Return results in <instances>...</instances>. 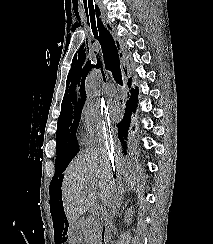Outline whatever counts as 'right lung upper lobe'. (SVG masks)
<instances>
[{
    "label": "right lung upper lobe",
    "instance_id": "1",
    "mask_svg": "<svg viewBox=\"0 0 213 244\" xmlns=\"http://www.w3.org/2000/svg\"><path fill=\"white\" fill-rule=\"evenodd\" d=\"M92 65L90 66L89 62H85V59L81 61L78 60V63L74 66H71L69 71L67 81L70 82L69 89L67 88L63 101L61 104V112L83 107L86 93L84 89L85 78L88 74V71L91 70Z\"/></svg>",
    "mask_w": 213,
    "mask_h": 244
}]
</instances>
